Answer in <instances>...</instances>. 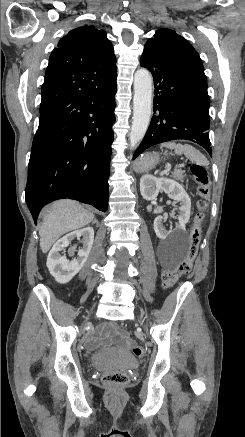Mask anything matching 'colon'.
I'll use <instances>...</instances> for the list:
<instances>
[{"instance_id": "5ec220e1", "label": "colon", "mask_w": 245, "mask_h": 437, "mask_svg": "<svg viewBox=\"0 0 245 437\" xmlns=\"http://www.w3.org/2000/svg\"><path fill=\"white\" fill-rule=\"evenodd\" d=\"M191 173L197 184V194L200 198L197 203L198 213L195 217V224L190 231L189 246L184 259L176 267L167 269L162 274V282L165 288H171L182 275L190 272L199 250L201 223L204 219V211L207 206L206 200L210 193V179L207 169L200 164L192 165ZM132 353L136 357H142L145 349L140 345H134ZM102 379L105 384L118 387L127 383L128 376L123 372H108L103 375Z\"/></svg>"}]
</instances>
